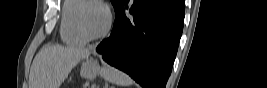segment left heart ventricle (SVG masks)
I'll list each match as a JSON object with an SVG mask.
<instances>
[{
	"label": "left heart ventricle",
	"mask_w": 267,
	"mask_h": 88,
	"mask_svg": "<svg viewBox=\"0 0 267 88\" xmlns=\"http://www.w3.org/2000/svg\"><path fill=\"white\" fill-rule=\"evenodd\" d=\"M82 19L86 30L92 34L100 33L106 25V12L97 5H87L82 13Z\"/></svg>",
	"instance_id": "1"
}]
</instances>
